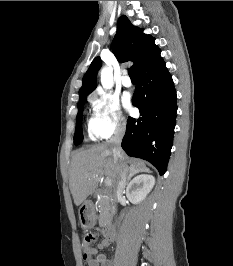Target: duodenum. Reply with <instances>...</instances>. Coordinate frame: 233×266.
I'll use <instances>...</instances> for the list:
<instances>
[{"mask_svg": "<svg viewBox=\"0 0 233 266\" xmlns=\"http://www.w3.org/2000/svg\"><path fill=\"white\" fill-rule=\"evenodd\" d=\"M103 234L108 241H114L117 238L116 229L110 222L104 225Z\"/></svg>", "mask_w": 233, "mask_h": 266, "instance_id": "duodenum-1", "label": "duodenum"}]
</instances>
